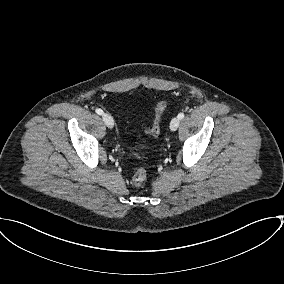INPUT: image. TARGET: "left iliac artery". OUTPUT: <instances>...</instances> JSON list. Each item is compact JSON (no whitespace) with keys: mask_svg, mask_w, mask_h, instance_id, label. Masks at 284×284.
I'll use <instances>...</instances> for the list:
<instances>
[{"mask_svg":"<svg viewBox=\"0 0 284 284\" xmlns=\"http://www.w3.org/2000/svg\"><path fill=\"white\" fill-rule=\"evenodd\" d=\"M178 118H179V119H183V118H184V113H179V114H178Z\"/></svg>","mask_w":284,"mask_h":284,"instance_id":"1","label":"left iliac artery"}]
</instances>
